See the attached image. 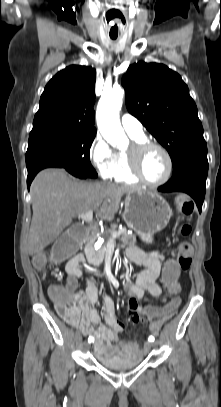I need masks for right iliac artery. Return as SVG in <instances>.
Masks as SVG:
<instances>
[{
    "mask_svg": "<svg viewBox=\"0 0 221 407\" xmlns=\"http://www.w3.org/2000/svg\"><path fill=\"white\" fill-rule=\"evenodd\" d=\"M93 341H94V339H93L92 337H89V338H88V342H89V343H91V342H93Z\"/></svg>",
    "mask_w": 221,
    "mask_h": 407,
    "instance_id": "82829eb1",
    "label": "right iliac artery"
}]
</instances>
